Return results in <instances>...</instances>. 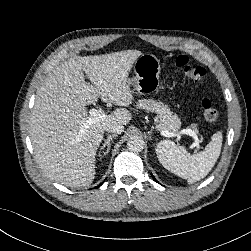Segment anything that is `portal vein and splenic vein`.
I'll use <instances>...</instances> for the list:
<instances>
[{"label":"portal vein and splenic vein","mask_w":251,"mask_h":251,"mask_svg":"<svg viewBox=\"0 0 251 251\" xmlns=\"http://www.w3.org/2000/svg\"><path fill=\"white\" fill-rule=\"evenodd\" d=\"M89 114H90V117L86 121V123L84 124V127H88L89 125H92L96 122L104 120L107 116L105 112H103L102 110H97V109H91L89 111ZM181 134H186V135L193 137L194 143L192 144V147H196L197 149L200 148L198 136L191 129H183V130H181L180 133H170L168 131H161V135H163L165 137H179Z\"/></svg>","instance_id":"1"}]
</instances>
